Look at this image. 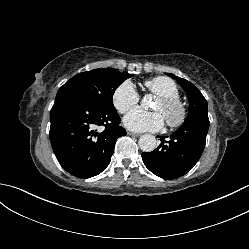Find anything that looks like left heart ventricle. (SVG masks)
Returning a JSON list of instances; mask_svg holds the SVG:
<instances>
[{"label": "left heart ventricle", "mask_w": 249, "mask_h": 249, "mask_svg": "<svg viewBox=\"0 0 249 249\" xmlns=\"http://www.w3.org/2000/svg\"><path fill=\"white\" fill-rule=\"evenodd\" d=\"M153 109H154L155 111L160 112V113L163 115V117L166 118V115H167V114L164 112L163 105L161 104V102H160L159 100L156 101V103H155Z\"/></svg>", "instance_id": "1"}]
</instances>
